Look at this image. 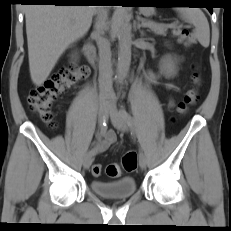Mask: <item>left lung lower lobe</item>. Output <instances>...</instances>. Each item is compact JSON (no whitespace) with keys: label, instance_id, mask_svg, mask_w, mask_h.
Here are the masks:
<instances>
[{"label":"left lung lower lobe","instance_id":"1","mask_svg":"<svg viewBox=\"0 0 231 231\" xmlns=\"http://www.w3.org/2000/svg\"><path fill=\"white\" fill-rule=\"evenodd\" d=\"M207 9L210 11L211 14L213 13L212 7H207Z\"/></svg>","mask_w":231,"mask_h":231}]
</instances>
